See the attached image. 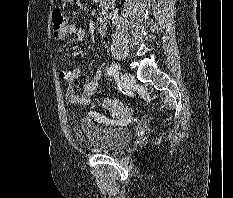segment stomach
Wrapping results in <instances>:
<instances>
[{
  "label": "stomach",
  "mask_w": 233,
  "mask_h": 198,
  "mask_svg": "<svg viewBox=\"0 0 233 198\" xmlns=\"http://www.w3.org/2000/svg\"><path fill=\"white\" fill-rule=\"evenodd\" d=\"M65 2L72 3L74 0H64Z\"/></svg>",
  "instance_id": "1"
}]
</instances>
